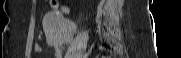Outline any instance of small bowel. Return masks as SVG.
Here are the masks:
<instances>
[{"instance_id": "small-bowel-1", "label": "small bowel", "mask_w": 181, "mask_h": 58, "mask_svg": "<svg viewBox=\"0 0 181 58\" xmlns=\"http://www.w3.org/2000/svg\"><path fill=\"white\" fill-rule=\"evenodd\" d=\"M50 3V6L53 8V9H58V8H61L63 12L67 13L68 12V8L67 7H64L60 4V1H57V0H51L49 1ZM34 50L35 52L37 53H43L45 50L39 46L38 44L34 45ZM54 52H55V57L56 58H61V51L59 50V48L55 47L54 48Z\"/></svg>"}]
</instances>
